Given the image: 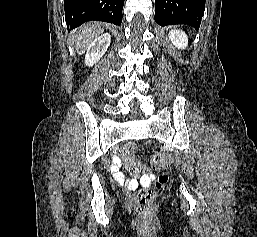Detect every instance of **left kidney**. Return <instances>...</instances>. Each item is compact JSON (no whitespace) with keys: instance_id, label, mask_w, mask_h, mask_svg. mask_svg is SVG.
I'll list each match as a JSON object with an SVG mask.
<instances>
[{"instance_id":"left-kidney-1","label":"left kidney","mask_w":257,"mask_h":237,"mask_svg":"<svg viewBox=\"0 0 257 237\" xmlns=\"http://www.w3.org/2000/svg\"><path fill=\"white\" fill-rule=\"evenodd\" d=\"M171 43L178 49H185L188 45L187 35L179 30H172L169 33Z\"/></svg>"}]
</instances>
